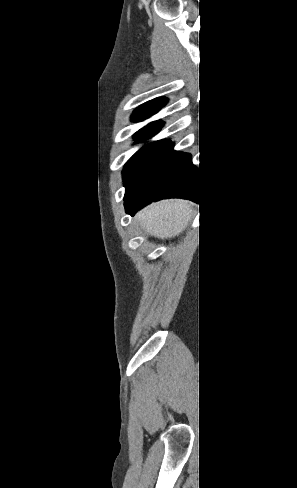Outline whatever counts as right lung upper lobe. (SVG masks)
I'll list each match as a JSON object with an SVG mask.
<instances>
[{
  "label": "right lung upper lobe",
  "instance_id": "right-lung-upper-lobe-1",
  "mask_svg": "<svg viewBox=\"0 0 297 488\" xmlns=\"http://www.w3.org/2000/svg\"><path fill=\"white\" fill-rule=\"evenodd\" d=\"M166 101V98H157L146 102L134 111L132 115V120L140 121L144 118L149 117L150 115L156 113L162 106H164ZM162 126L163 122L158 120L155 122H151L146 127L139 130L137 133H156L161 129Z\"/></svg>",
  "mask_w": 297,
  "mask_h": 488
}]
</instances>
